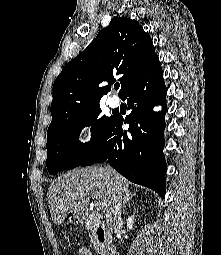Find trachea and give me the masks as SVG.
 Listing matches in <instances>:
<instances>
[{
	"label": "trachea",
	"instance_id": "1",
	"mask_svg": "<svg viewBox=\"0 0 221 255\" xmlns=\"http://www.w3.org/2000/svg\"><path fill=\"white\" fill-rule=\"evenodd\" d=\"M120 84H115L114 88L117 90L119 88Z\"/></svg>",
	"mask_w": 221,
	"mask_h": 255
}]
</instances>
